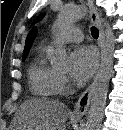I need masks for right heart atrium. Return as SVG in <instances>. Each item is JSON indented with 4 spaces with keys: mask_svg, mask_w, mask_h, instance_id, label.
Masks as SVG:
<instances>
[{
    "mask_svg": "<svg viewBox=\"0 0 123 130\" xmlns=\"http://www.w3.org/2000/svg\"><path fill=\"white\" fill-rule=\"evenodd\" d=\"M68 87L67 79L63 75H59V91L64 92Z\"/></svg>",
    "mask_w": 123,
    "mask_h": 130,
    "instance_id": "1",
    "label": "right heart atrium"
}]
</instances>
